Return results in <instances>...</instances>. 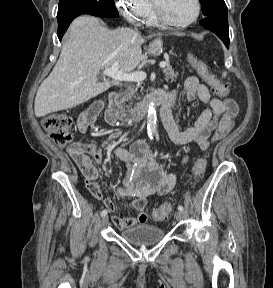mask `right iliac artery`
<instances>
[{
  "label": "right iliac artery",
  "instance_id": "obj_1",
  "mask_svg": "<svg viewBox=\"0 0 273 288\" xmlns=\"http://www.w3.org/2000/svg\"><path fill=\"white\" fill-rule=\"evenodd\" d=\"M106 215H107V210H106V209L102 210L101 216L104 217V216H106Z\"/></svg>",
  "mask_w": 273,
  "mask_h": 288
}]
</instances>
